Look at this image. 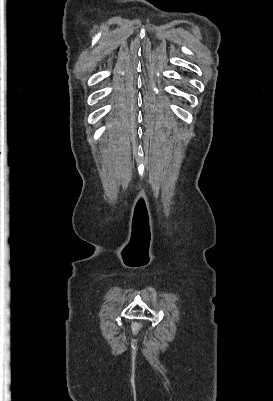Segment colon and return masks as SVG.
<instances>
[{"mask_svg":"<svg viewBox=\"0 0 273 401\" xmlns=\"http://www.w3.org/2000/svg\"><path fill=\"white\" fill-rule=\"evenodd\" d=\"M133 325H134L133 330H134L135 332H138V331L140 330V327H141V325H142V322H141V320L136 319V320H134Z\"/></svg>","mask_w":273,"mask_h":401,"instance_id":"colon-1","label":"colon"}]
</instances>
